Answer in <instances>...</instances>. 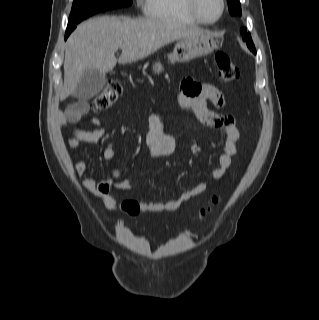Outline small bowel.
I'll list each match as a JSON object with an SVG mask.
<instances>
[{"label": "small bowel", "mask_w": 319, "mask_h": 320, "mask_svg": "<svg viewBox=\"0 0 319 320\" xmlns=\"http://www.w3.org/2000/svg\"><path fill=\"white\" fill-rule=\"evenodd\" d=\"M212 103L217 109L225 106V98L222 92L211 84H200L191 78H185L182 82V90L175 97L173 108L191 109L197 119L204 125L223 131L224 150L218 155V166L212 171V178L215 181L221 180L232 164V159L237 153L240 132L236 126L235 117L230 114L220 113L211 110L208 103ZM89 112L88 104L85 102L76 103L66 113L60 116L59 125L68 127L70 134L67 138L68 147L75 149L81 141H96L106 135L105 129L96 118L87 117ZM162 111L155 113L152 117L151 127L146 133L145 140L153 157H167L174 153L176 142L173 137L162 131ZM79 121H86L96 127L93 131H85L74 127ZM116 156L113 142H109L102 153L104 163V175L102 179L93 176L84 178L83 187L92 195L100 198L107 208H113L117 200L111 195L114 190L130 191L131 184L128 179L118 180L109 167V163ZM87 165L84 160H78L75 164V171L78 176L84 175ZM207 189L206 183L184 191L178 198L168 201H143L141 209L144 212L153 213L161 211H175L184 202L196 197Z\"/></svg>", "instance_id": "c3829d8e"}]
</instances>
